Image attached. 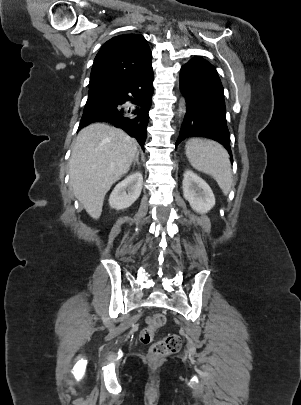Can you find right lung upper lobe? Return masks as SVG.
Masks as SVG:
<instances>
[{"label":"right lung upper lobe","instance_id":"obj_1","mask_svg":"<svg viewBox=\"0 0 301 405\" xmlns=\"http://www.w3.org/2000/svg\"><path fill=\"white\" fill-rule=\"evenodd\" d=\"M151 59V50L142 35L122 34L111 38L94 59L89 91L117 92L143 70Z\"/></svg>","mask_w":301,"mask_h":405}]
</instances>
